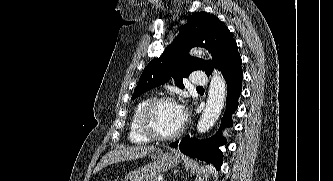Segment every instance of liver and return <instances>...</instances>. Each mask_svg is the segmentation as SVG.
<instances>
[{
  "label": "liver",
  "instance_id": "liver-1",
  "mask_svg": "<svg viewBox=\"0 0 333 181\" xmlns=\"http://www.w3.org/2000/svg\"><path fill=\"white\" fill-rule=\"evenodd\" d=\"M158 148L155 146H130V147H119L112 152L106 154L96 166L94 173H97L102 168L123 161L136 160L143 158L146 155H151Z\"/></svg>",
  "mask_w": 333,
  "mask_h": 181
}]
</instances>
